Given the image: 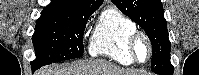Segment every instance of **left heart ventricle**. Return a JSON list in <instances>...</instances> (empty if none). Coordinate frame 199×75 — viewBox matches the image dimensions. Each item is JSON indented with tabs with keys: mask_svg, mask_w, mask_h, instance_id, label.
I'll return each instance as SVG.
<instances>
[{
	"mask_svg": "<svg viewBox=\"0 0 199 75\" xmlns=\"http://www.w3.org/2000/svg\"><path fill=\"white\" fill-rule=\"evenodd\" d=\"M136 54L140 61H145L148 57V45L142 39L136 43Z\"/></svg>",
	"mask_w": 199,
	"mask_h": 75,
	"instance_id": "1",
	"label": "left heart ventricle"
}]
</instances>
